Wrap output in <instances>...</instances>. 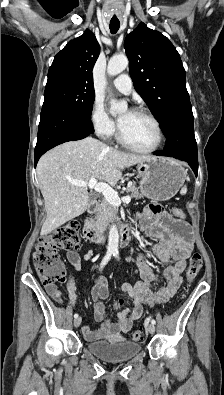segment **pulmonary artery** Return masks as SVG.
Segmentation results:
<instances>
[{"mask_svg":"<svg viewBox=\"0 0 224 395\" xmlns=\"http://www.w3.org/2000/svg\"><path fill=\"white\" fill-rule=\"evenodd\" d=\"M114 87L123 94L132 92V81L127 74H121L113 80Z\"/></svg>","mask_w":224,"mask_h":395,"instance_id":"pulmonary-artery-1","label":"pulmonary artery"}]
</instances>
